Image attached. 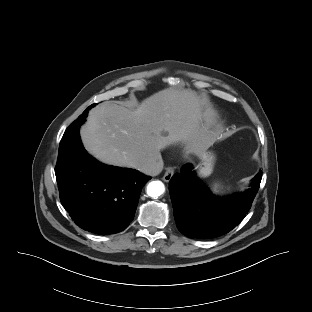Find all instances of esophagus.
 <instances>
[{
    "mask_svg": "<svg viewBox=\"0 0 312 312\" xmlns=\"http://www.w3.org/2000/svg\"><path fill=\"white\" fill-rule=\"evenodd\" d=\"M173 175H174V170H173V168L168 167V168H166V171H165V173H164L163 180H164L165 182H169V181L171 180V178H172Z\"/></svg>",
    "mask_w": 312,
    "mask_h": 312,
    "instance_id": "esophagus-1",
    "label": "esophagus"
}]
</instances>
